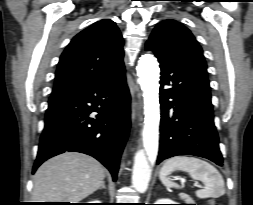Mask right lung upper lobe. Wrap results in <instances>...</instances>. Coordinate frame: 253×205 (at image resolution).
<instances>
[{
	"label": "right lung upper lobe",
	"instance_id": "1",
	"mask_svg": "<svg viewBox=\"0 0 253 205\" xmlns=\"http://www.w3.org/2000/svg\"><path fill=\"white\" fill-rule=\"evenodd\" d=\"M123 38L116 24L103 19L77 34L60 57L53 93L102 81L122 70Z\"/></svg>",
	"mask_w": 253,
	"mask_h": 205
}]
</instances>
